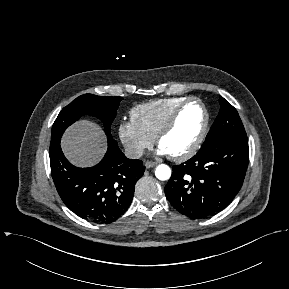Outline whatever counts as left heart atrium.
Returning a JSON list of instances; mask_svg holds the SVG:
<instances>
[{
    "label": "left heart atrium",
    "mask_w": 289,
    "mask_h": 289,
    "mask_svg": "<svg viewBox=\"0 0 289 289\" xmlns=\"http://www.w3.org/2000/svg\"><path fill=\"white\" fill-rule=\"evenodd\" d=\"M159 154H167V152L165 150H163L161 147L158 150Z\"/></svg>",
    "instance_id": "1"
}]
</instances>
